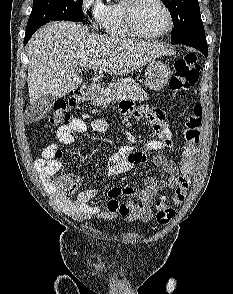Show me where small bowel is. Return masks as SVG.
I'll list each match as a JSON object with an SVG mask.
<instances>
[{
  "label": "small bowel",
  "instance_id": "obj_1",
  "mask_svg": "<svg viewBox=\"0 0 233 294\" xmlns=\"http://www.w3.org/2000/svg\"><path fill=\"white\" fill-rule=\"evenodd\" d=\"M137 106L138 108L134 107L130 101H123L120 104V112L123 115H132L136 120L145 116L144 122H150L152 125L151 139L145 143L141 150L131 146H123L112 153L107 160V170L110 175H120L129 171L134 165L145 162L149 152L173 146V135L165 113L159 108H152L151 103H138ZM91 129L105 132L108 130V123L104 119H96L91 123ZM88 130L87 123L78 118L72 120L68 125L60 127L57 132V142L47 145L42 152V158L36 162V167L46 181V186L60 210L79 221L93 217L104 220L123 217L127 221H150L153 216L152 205L156 194L164 189H174L178 185L179 168L162 154L155 155L152 162L167 174L165 179L146 177L142 189H137L134 186L111 188L108 192L110 200L105 209L93 203L98 196L97 190H82L74 199H69L59 192L57 180H51L62 167V152L59 149V144L70 145L75 140V134L86 133ZM122 196L135 197L139 202L128 200L126 203L120 204L117 198Z\"/></svg>",
  "mask_w": 233,
  "mask_h": 294
}]
</instances>
